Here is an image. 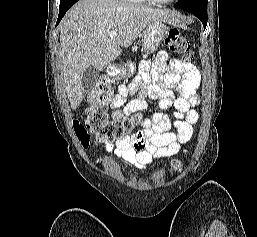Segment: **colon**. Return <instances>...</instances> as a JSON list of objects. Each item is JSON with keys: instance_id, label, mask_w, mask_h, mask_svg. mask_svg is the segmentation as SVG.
I'll use <instances>...</instances> for the list:
<instances>
[{"instance_id": "1", "label": "colon", "mask_w": 257, "mask_h": 237, "mask_svg": "<svg viewBox=\"0 0 257 237\" xmlns=\"http://www.w3.org/2000/svg\"><path fill=\"white\" fill-rule=\"evenodd\" d=\"M166 45L175 53L182 56L185 61L192 60L189 39L179 30H171L166 38ZM115 84L110 77H100L91 89L86 110L85 124L77 120L73 122L74 132L82 146H88L90 141V131L97 140L102 142H114L124 139L130 134L137 121L123 118L112 120L108 113V104L114 97ZM183 168L182 160H174L170 166L171 172L180 171Z\"/></svg>"}]
</instances>
